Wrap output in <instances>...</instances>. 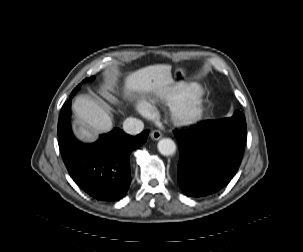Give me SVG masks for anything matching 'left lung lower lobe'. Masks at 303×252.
<instances>
[{
	"label": "left lung lower lobe",
	"instance_id": "0a47b994",
	"mask_svg": "<svg viewBox=\"0 0 303 252\" xmlns=\"http://www.w3.org/2000/svg\"><path fill=\"white\" fill-rule=\"evenodd\" d=\"M245 119L206 120L176 131L178 183L188 196L217 192L229 183L241 163L246 143Z\"/></svg>",
	"mask_w": 303,
	"mask_h": 252
}]
</instances>
